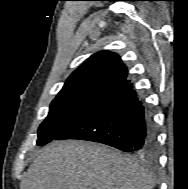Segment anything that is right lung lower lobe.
<instances>
[{"instance_id":"obj_1","label":"right lung lower lobe","mask_w":188,"mask_h":189,"mask_svg":"<svg viewBox=\"0 0 188 189\" xmlns=\"http://www.w3.org/2000/svg\"><path fill=\"white\" fill-rule=\"evenodd\" d=\"M55 139L94 141L145 154L155 148L156 130L149 109L132 90V84H127L99 100Z\"/></svg>"}]
</instances>
